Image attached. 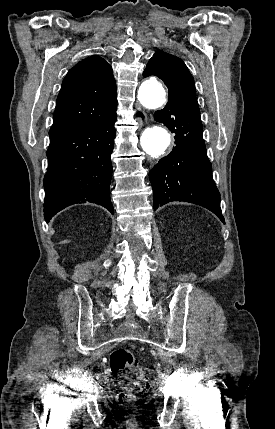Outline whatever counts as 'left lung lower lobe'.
<instances>
[{
    "instance_id": "left-lung-lower-lobe-1",
    "label": "left lung lower lobe",
    "mask_w": 275,
    "mask_h": 429,
    "mask_svg": "<svg viewBox=\"0 0 275 429\" xmlns=\"http://www.w3.org/2000/svg\"><path fill=\"white\" fill-rule=\"evenodd\" d=\"M154 118L175 134L176 144L149 172L154 210L172 201L190 202L209 209L225 223L203 140L198 104L187 97L169 98Z\"/></svg>"
}]
</instances>
